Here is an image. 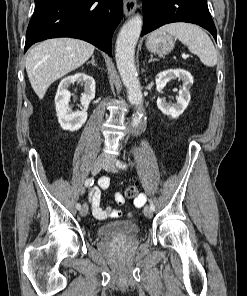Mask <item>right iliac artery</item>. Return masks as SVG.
I'll return each mask as SVG.
<instances>
[{"label":"right iliac artery","instance_id":"1","mask_svg":"<svg viewBox=\"0 0 247 296\" xmlns=\"http://www.w3.org/2000/svg\"><path fill=\"white\" fill-rule=\"evenodd\" d=\"M93 183H94V179H93V178H88V179L85 181L84 185H85V187H90V186L93 185ZM76 208H77L78 210H80V209H81V205H80V204H77V205H76Z\"/></svg>","mask_w":247,"mask_h":296}]
</instances>
